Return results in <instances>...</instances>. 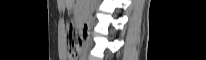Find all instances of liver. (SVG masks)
<instances>
[{
  "mask_svg": "<svg viewBox=\"0 0 206 60\" xmlns=\"http://www.w3.org/2000/svg\"><path fill=\"white\" fill-rule=\"evenodd\" d=\"M75 0H66V3L69 4V3H73Z\"/></svg>",
  "mask_w": 206,
  "mask_h": 60,
  "instance_id": "liver-1",
  "label": "liver"
}]
</instances>
